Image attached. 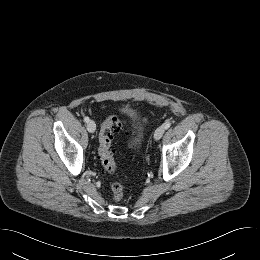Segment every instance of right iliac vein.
<instances>
[{
    "instance_id": "63e3f726",
    "label": "right iliac vein",
    "mask_w": 260,
    "mask_h": 260,
    "mask_svg": "<svg viewBox=\"0 0 260 260\" xmlns=\"http://www.w3.org/2000/svg\"><path fill=\"white\" fill-rule=\"evenodd\" d=\"M87 130H88L90 133H94V132H95V130H96V124L94 123V121L89 120V122L87 123Z\"/></svg>"
}]
</instances>
